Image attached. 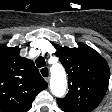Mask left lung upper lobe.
Listing matches in <instances>:
<instances>
[{
  "instance_id": "obj_1",
  "label": "left lung upper lobe",
  "mask_w": 112,
  "mask_h": 112,
  "mask_svg": "<svg viewBox=\"0 0 112 112\" xmlns=\"http://www.w3.org/2000/svg\"><path fill=\"white\" fill-rule=\"evenodd\" d=\"M57 56L68 73L69 92L57 99L64 112H91L102 101L109 84L105 59L86 44L78 48L55 45Z\"/></svg>"
}]
</instances>
